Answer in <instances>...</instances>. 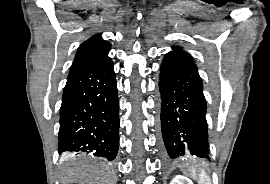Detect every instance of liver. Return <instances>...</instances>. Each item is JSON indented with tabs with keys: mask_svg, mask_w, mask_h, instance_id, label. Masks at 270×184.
I'll return each mask as SVG.
<instances>
[{
	"mask_svg": "<svg viewBox=\"0 0 270 184\" xmlns=\"http://www.w3.org/2000/svg\"><path fill=\"white\" fill-rule=\"evenodd\" d=\"M62 184H115V174L109 164H82L66 169L61 175Z\"/></svg>",
	"mask_w": 270,
	"mask_h": 184,
	"instance_id": "obj_1",
	"label": "liver"
}]
</instances>
